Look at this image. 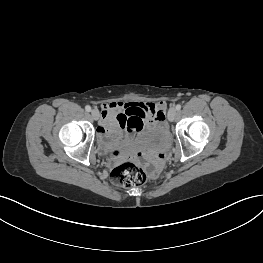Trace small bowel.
<instances>
[{"label": "small bowel", "instance_id": "1", "mask_svg": "<svg viewBox=\"0 0 263 263\" xmlns=\"http://www.w3.org/2000/svg\"><path fill=\"white\" fill-rule=\"evenodd\" d=\"M166 104L144 102H109L102 105V117L98 127V136L102 146L111 151L114 158L121 157L117 143H138L141 134L157 123H164ZM165 163V153L157 150L151 161L149 176L157 179L162 165Z\"/></svg>", "mask_w": 263, "mask_h": 263}]
</instances>
